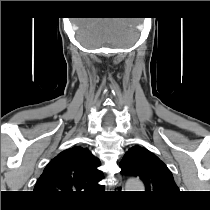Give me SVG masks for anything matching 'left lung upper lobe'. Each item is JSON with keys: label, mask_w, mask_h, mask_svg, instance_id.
Listing matches in <instances>:
<instances>
[{"label": "left lung upper lobe", "mask_w": 210, "mask_h": 210, "mask_svg": "<svg viewBox=\"0 0 210 210\" xmlns=\"http://www.w3.org/2000/svg\"><path fill=\"white\" fill-rule=\"evenodd\" d=\"M120 168L123 174L138 176L148 193L165 196L179 191L167 166L155 154L138 145L126 152Z\"/></svg>", "instance_id": "left-lung-upper-lobe-1"}]
</instances>
